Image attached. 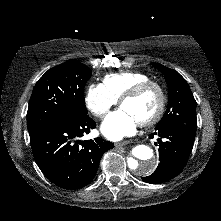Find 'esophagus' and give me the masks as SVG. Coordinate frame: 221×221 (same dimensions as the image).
<instances>
[{"label": "esophagus", "instance_id": "34e87169", "mask_svg": "<svg viewBox=\"0 0 221 221\" xmlns=\"http://www.w3.org/2000/svg\"><path fill=\"white\" fill-rule=\"evenodd\" d=\"M129 143H130L129 140H127V141H122V142H117V143H115V147H121V146L127 145V144H129Z\"/></svg>", "mask_w": 221, "mask_h": 221}]
</instances>
